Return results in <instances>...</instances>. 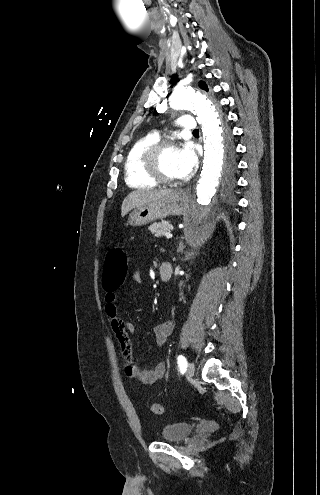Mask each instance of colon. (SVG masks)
Masks as SVG:
<instances>
[{
  "label": "colon",
  "instance_id": "colon-1",
  "mask_svg": "<svg viewBox=\"0 0 320 495\" xmlns=\"http://www.w3.org/2000/svg\"><path fill=\"white\" fill-rule=\"evenodd\" d=\"M128 256L121 247H112L106 254L103 265V285L107 290L119 287L126 276ZM151 410L155 415H162L164 408L160 403H153Z\"/></svg>",
  "mask_w": 320,
  "mask_h": 495
}]
</instances>
